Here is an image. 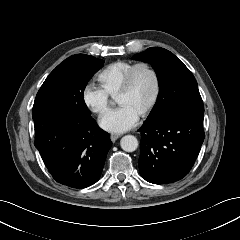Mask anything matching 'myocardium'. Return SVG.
<instances>
[{
    "label": "myocardium",
    "instance_id": "myocardium-1",
    "mask_svg": "<svg viewBox=\"0 0 240 240\" xmlns=\"http://www.w3.org/2000/svg\"><path fill=\"white\" fill-rule=\"evenodd\" d=\"M141 68L147 69L152 74V76L154 78V82H155L154 95H153L150 103L139 115L140 117H146L153 111V109L157 105L158 100L161 95V90H162L160 75H159L158 71L152 66V64L145 62V61L135 63L127 72V74L124 78L123 84H122L119 92L117 93L116 97L118 98L119 96L124 95L131 90L134 75H135L136 71Z\"/></svg>",
    "mask_w": 240,
    "mask_h": 240
}]
</instances>
